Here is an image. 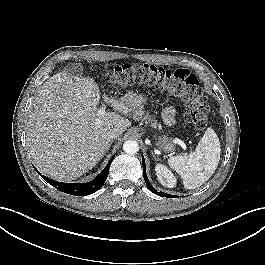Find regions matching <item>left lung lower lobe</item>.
<instances>
[{
  "label": "left lung lower lobe",
  "instance_id": "obj_1",
  "mask_svg": "<svg viewBox=\"0 0 265 265\" xmlns=\"http://www.w3.org/2000/svg\"><path fill=\"white\" fill-rule=\"evenodd\" d=\"M142 165H143V177H144L145 183H146L147 187L149 188V190L151 192L157 194L158 196L172 198L173 195H169V194L164 193V192H158L155 188L152 187V185L150 184V182H149V180L147 178V175H146L145 160H144V157L143 156H142Z\"/></svg>",
  "mask_w": 265,
  "mask_h": 265
}]
</instances>
